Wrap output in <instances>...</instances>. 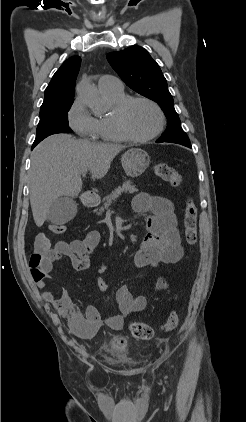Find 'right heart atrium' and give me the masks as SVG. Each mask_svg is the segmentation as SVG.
<instances>
[{
    "label": "right heart atrium",
    "instance_id": "1",
    "mask_svg": "<svg viewBox=\"0 0 246 422\" xmlns=\"http://www.w3.org/2000/svg\"><path fill=\"white\" fill-rule=\"evenodd\" d=\"M68 123L84 139L95 140L99 137L98 120L89 113L80 98H76L69 108Z\"/></svg>",
    "mask_w": 246,
    "mask_h": 422
}]
</instances>
